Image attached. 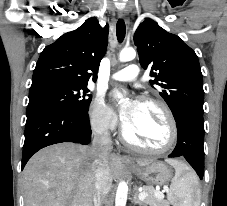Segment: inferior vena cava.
<instances>
[{
	"label": "inferior vena cava",
	"mask_w": 227,
	"mask_h": 206,
	"mask_svg": "<svg viewBox=\"0 0 227 206\" xmlns=\"http://www.w3.org/2000/svg\"><path fill=\"white\" fill-rule=\"evenodd\" d=\"M112 150V141L106 128L94 133L92 154L95 156L93 162L95 182L93 202L94 206H101L103 199L108 195L112 186V177L108 168V157Z\"/></svg>",
	"instance_id": "1"
}]
</instances>
